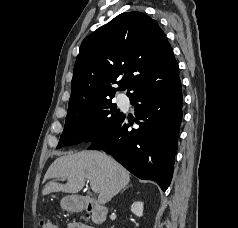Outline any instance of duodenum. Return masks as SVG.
<instances>
[{
    "instance_id": "410a0bca",
    "label": "duodenum",
    "mask_w": 238,
    "mask_h": 228,
    "mask_svg": "<svg viewBox=\"0 0 238 228\" xmlns=\"http://www.w3.org/2000/svg\"><path fill=\"white\" fill-rule=\"evenodd\" d=\"M73 206L91 213L92 220L97 225L103 224L106 219L107 208L92 198L81 197Z\"/></svg>"
}]
</instances>
